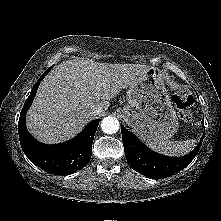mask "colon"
Wrapping results in <instances>:
<instances>
[{"label": "colon", "instance_id": "5ec220e1", "mask_svg": "<svg viewBox=\"0 0 221 221\" xmlns=\"http://www.w3.org/2000/svg\"><path fill=\"white\" fill-rule=\"evenodd\" d=\"M172 101L174 106L178 110L180 118L185 122L191 121V107L193 104L192 92L188 89H181L173 95Z\"/></svg>", "mask_w": 221, "mask_h": 221}]
</instances>
